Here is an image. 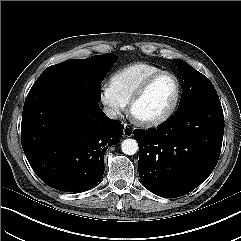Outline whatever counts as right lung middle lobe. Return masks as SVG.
<instances>
[{"label":"right lung middle lobe","mask_w":241,"mask_h":241,"mask_svg":"<svg viewBox=\"0 0 241 241\" xmlns=\"http://www.w3.org/2000/svg\"><path fill=\"white\" fill-rule=\"evenodd\" d=\"M117 60V55L108 53L87 59H70L49 66L39 76L31 90L49 84H68L100 101V85Z\"/></svg>","instance_id":"1"}]
</instances>
